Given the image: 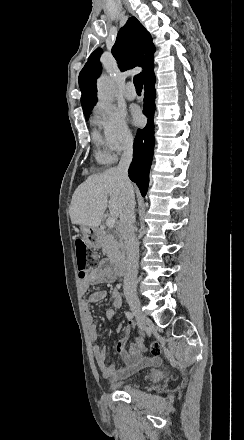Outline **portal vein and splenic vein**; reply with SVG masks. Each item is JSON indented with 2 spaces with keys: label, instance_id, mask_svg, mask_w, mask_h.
<instances>
[{
  "label": "portal vein and splenic vein",
  "instance_id": "1",
  "mask_svg": "<svg viewBox=\"0 0 244 440\" xmlns=\"http://www.w3.org/2000/svg\"><path fill=\"white\" fill-rule=\"evenodd\" d=\"M115 224H116V218H107L106 226H108V228H114Z\"/></svg>",
  "mask_w": 244,
  "mask_h": 440
}]
</instances>
